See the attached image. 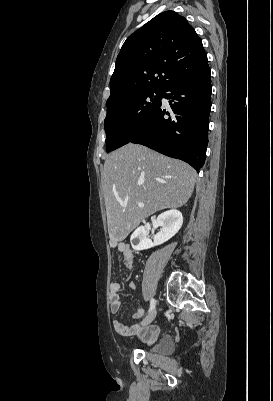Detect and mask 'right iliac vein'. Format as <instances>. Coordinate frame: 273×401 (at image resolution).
<instances>
[{
  "mask_svg": "<svg viewBox=\"0 0 273 401\" xmlns=\"http://www.w3.org/2000/svg\"><path fill=\"white\" fill-rule=\"evenodd\" d=\"M156 309H154L153 311H151L143 320H142V325L146 326L148 324H150L156 317Z\"/></svg>",
  "mask_w": 273,
  "mask_h": 401,
  "instance_id": "right-iliac-vein-1",
  "label": "right iliac vein"
}]
</instances>
